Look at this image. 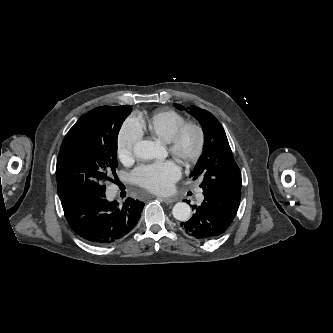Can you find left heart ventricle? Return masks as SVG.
I'll return each mask as SVG.
<instances>
[{
  "label": "left heart ventricle",
  "instance_id": "left-heart-ventricle-1",
  "mask_svg": "<svg viewBox=\"0 0 333 333\" xmlns=\"http://www.w3.org/2000/svg\"><path fill=\"white\" fill-rule=\"evenodd\" d=\"M195 143V137L192 133L187 134L185 138V147L187 149H191L194 146Z\"/></svg>",
  "mask_w": 333,
  "mask_h": 333
}]
</instances>
